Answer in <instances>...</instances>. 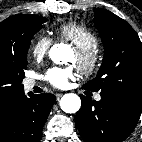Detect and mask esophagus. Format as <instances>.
<instances>
[{
    "mask_svg": "<svg viewBox=\"0 0 142 142\" xmlns=\"http://www.w3.org/2000/svg\"><path fill=\"white\" fill-rule=\"evenodd\" d=\"M62 95L63 94H61V93L56 94V99L59 100L62 97Z\"/></svg>",
    "mask_w": 142,
    "mask_h": 142,
    "instance_id": "esophagus-1",
    "label": "esophagus"
}]
</instances>
